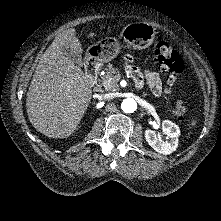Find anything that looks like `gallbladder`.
I'll list each match as a JSON object with an SVG mask.
<instances>
[{
	"label": "gallbladder",
	"mask_w": 221,
	"mask_h": 221,
	"mask_svg": "<svg viewBox=\"0 0 221 221\" xmlns=\"http://www.w3.org/2000/svg\"><path fill=\"white\" fill-rule=\"evenodd\" d=\"M63 53L67 58L72 60L78 66H82L83 62H82V58L80 55H75L70 49H66V48L63 49Z\"/></svg>",
	"instance_id": "1"
}]
</instances>
